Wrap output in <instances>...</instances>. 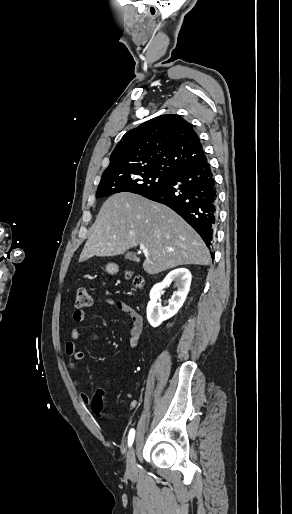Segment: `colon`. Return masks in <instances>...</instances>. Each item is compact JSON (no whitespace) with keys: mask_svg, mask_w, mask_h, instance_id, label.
Returning <instances> with one entry per match:
<instances>
[{"mask_svg":"<svg viewBox=\"0 0 292 514\" xmlns=\"http://www.w3.org/2000/svg\"><path fill=\"white\" fill-rule=\"evenodd\" d=\"M127 276L132 279L133 284L138 287L142 283L140 276H134L132 272H127ZM90 307V298L86 289H78L76 293L75 308L76 311L86 310ZM91 410L95 413L94 417L100 419L103 411V398L101 395H95L91 405Z\"/></svg>","mask_w":292,"mask_h":514,"instance_id":"1","label":"colon"}]
</instances>
